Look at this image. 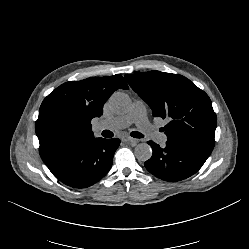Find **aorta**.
I'll return each instance as SVG.
<instances>
[{
	"instance_id": "obj_1",
	"label": "aorta",
	"mask_w": 249,
	"mask_h": 249,
	"mask_svg": "<svg viewBox=\"0 0 249 249\" xmlns=\"http://www.w3.org/2000/svg\"><path fill=\"white\" fill-rule=\"evenodd\" d=\"M110 109L117 114H124L129 111L131 100L123 92H115L109 99ZM135 156L139 161H147L152 156L151 146L147 143H139L135 147Z\"/></svg>"
}]
</instances>
